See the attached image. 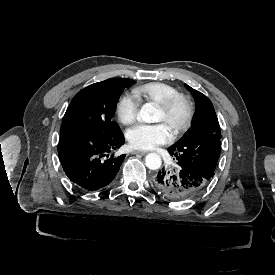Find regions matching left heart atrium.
<instances>
[{
    "label": "left heart atrium",
    "instance_id": "39dd6f15",
    "mask_svg": "<svg viewBox=\"0 0 275 275\" xmlns=\"http://www.w3.org/2000/svg\"><path fill=\"white\" fill-rule=\"evenodd\" d=\"M172 138L173 133L162 122L155 124L138 123L126 132L129 146L137 150H151L170 142Z\"/></svg>",
    "mask_w": 275,
    "mask_h": 275
}]
</instances>
